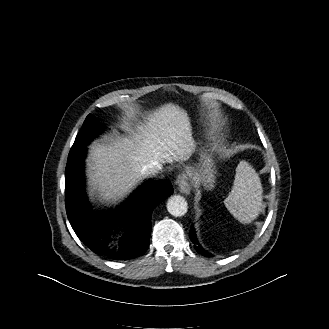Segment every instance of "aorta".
<instances>
[{"label":"aorta","mask_w":329,"mask_h":329,"mask_svg":"<svg viewBox=\"0 0 329 329\" xmlns=\"http://www.w3.org/2000/svg\"><path fill=\"white\" fill-rule=\"evenodd\" d=\"M187 205L188 204L184 197L180 195H173L167 201V210L171 215L180 217L187 213Z\"/></svg>","instance_id":"obj_1"}]
</instances>
